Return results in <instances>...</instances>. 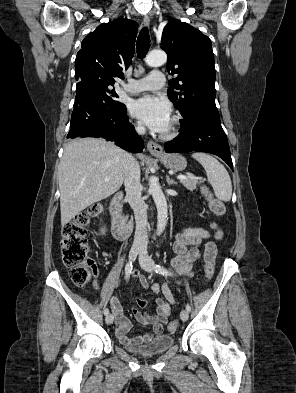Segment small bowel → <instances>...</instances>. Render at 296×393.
Listing matches in <instances>:
<instances>
[{"label": "small bowel", "instance_id": "small-bowel-1", "mask_svg": "<svg viewBox=\"0 0 296 393\" xmlns=\"http://www.w3.org/2000/svg\"><path fill=\"white\" fill-rule=\"evenodd\" d=\"M210 229H219L215 222L210 223ZM211 233L204 228H187L176 235L173 243V250L177 256L172 260V265L179 275L190 276L193 273V264L199 261L201 257L200 246L204 240V260L214 263L217 249L210 241ZM133 277L137 279L143 288H148L149 282L146 276L139 270L133 271ZM151 289L154 293L160 294L156 298V310L154 314L142 313L137 308H132V313L136 320L144 326H151L152 331L130 337L129 332L132 328L130 320L123 314L121 304L116 297L109 299V304L115 319V333L119 341L126 346L138 345L149 342L155 335L162 332L163 326L167 323L171 312V306L175 304V299L169 288L168 283L159 285L153 283ZM136 304L140 308H146L148 302L145 299H136Z\"/></svg>", "mask_w": 296, "mask_h": 393}]
</instances>
